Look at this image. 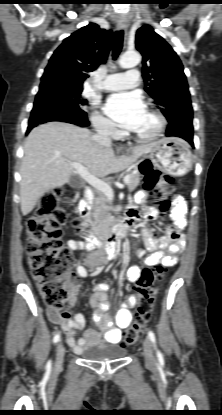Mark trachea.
Segmentation results:
<instances>
[{
  "instance_id": "1",
  "label": "trachea",
  "mask_w": 222,
  "mask_h": 415,
  "mask_svg": "<svg viewBox=\"0 0 222 415\" xmlns=\"http://www.w3.org/2000/svg\"><path fill=\"white\" fill-rule=\"evenodd\" d=\"M123 30L116 31L113 40V59L116 60L123 47Z\"/></svg>"
}]
</instances>
